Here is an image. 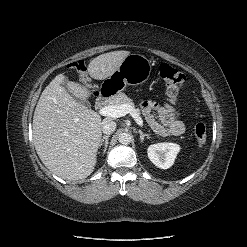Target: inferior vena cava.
I'll list each match as a JSON object with an SVG mask.
<instances>
[{"label":"inferior vena cava","instance_id":"1","mask_svg":"<svg viewBox=\"0 0 247 247\" xmlns=\"http://www.w3.org/2000/svg\"><path fill=\"white\" fill-rule=\"evenodd\" d=\"M116 129V123L109 118H106L102 121V131L104 134H111L115 131Z\"/></svg>","mask_w":247,"mask_h":247}]
</instances>
